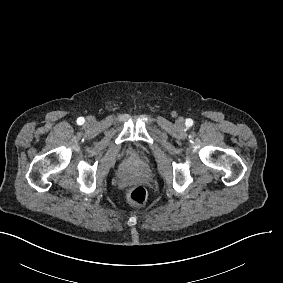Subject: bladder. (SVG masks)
Wrapping results in <instances>:
<instances>
[{"instance_id": "bladder-1", "label": "bladder", "mask_w": 283, "mask_h": 283, "mask_svg": "<svg viewBox=\"0 0 283 283\" xmlns=\"http://www.w3.org/2000/svg\"><path fill=\"white\" fill-rule=\"evenodd\" d=\"M140 154L144 157L147 155V153L145 151L140 152Z\"/></svg>"}]
</instances>
